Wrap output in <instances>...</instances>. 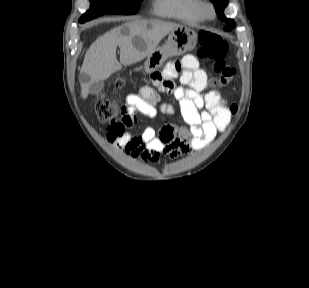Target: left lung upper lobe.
<instances>
[{
  "label": "left lung upper lobe",
  "mask_w": 309,
  "mask_h": 288,
  "mask_svg": "<svg viewBox=\"0 0 309 288\" xmlns=\"http://www.w3.org/2000/svg\"><path fill=\"white\" fill-rule=\"evenodd\" d=\"M213 2L218 17L227 23V26L224 28L226 31H230L235 27V22L231 19H228L224 16L223 10L228 4V0H210Z\"/></svg>",
  "instance_id": "5c2ea615"
}]
</instances>
